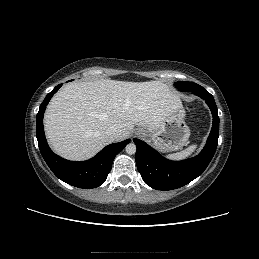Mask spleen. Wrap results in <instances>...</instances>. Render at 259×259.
<instances>
[{
	"mask_svg": "<svg viewBox=\"0 0 259 259\" xmlns=\"http://www.w3.org/2000/svg\"><path fill=\"white\" fill-rule=\"evenodd\" d=\"M196 149H197V145L193 144L183 151L173 153V154H169L166 157L168 159H171V160H183V159H186L189 156H191Z\"/></svg>",
	"mask_w": 259,
	"mask_h": 259,
	"instance_id": "spleen-1",
	"label": "spleen"
}]
</instances>
